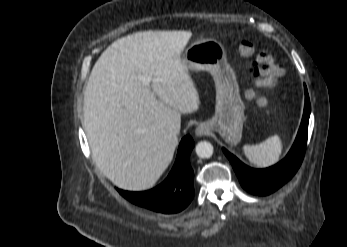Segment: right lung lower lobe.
Instances as JSON below:
<instances>
[{"mask_svg":"<svg viewBox=\"0 0 347 247\" xmlns=\"http://www.w3.org/2000/svg\"><path fill=\"white\" fill-rule=\"evenodd\" d=\"M194 142L185 136L179 145L175 164L168 177L159 186L144 192H118L132 203L161 213H176L188 206L194 197V173L190 153Z\"/></svg>","mask_w":347,"mask_h":247,"instance_id":"obj_1","label":"right lung lower lobe"}]
</instances>
